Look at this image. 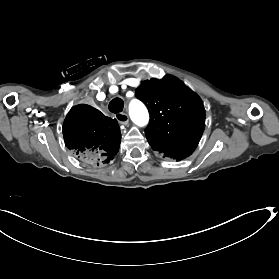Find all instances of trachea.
<instances>
[{
  "label": "trachea",
  "mask_w": 279,
  "mask_h": 279,
  "mask_svg": "<svg viewBox=\"0 0 279 279\" xmlns=\"http://www.w3.org/2000/svg\"><path fill=\"white\" fill-rule=\"evenodd\" d=\"M124 108V103L123 100L119 97H116L114 99H112L108 105V109L112 112V113H118L121 112Z\"/></svg>",
  "instance_id": "3493384b"
}]
</instances>
